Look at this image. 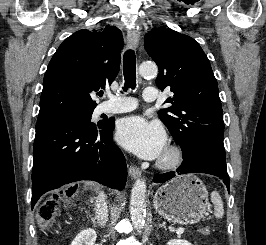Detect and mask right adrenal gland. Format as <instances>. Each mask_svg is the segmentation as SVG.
Instances as JSON below:
<instances>
[{
	"label": "right adrenal gland",
	"mask_w": 266,
	"mask_h": 245,
	"mask_svg": "<svg viewBox=\"0 0 266 245\" xmlns=\"http://www.w3.org/2000/svg\"><path fill=\"white\" fill-rule=\"evenodd\" d=\"M90 199H91V201H92V203H93V199H92V197H90ZM90 217H91V221H92V225H93V227H96V223H97V221H96L95 217H93V215H90Z\"/></svg>",
	"instance_id": "2a0ac1e0"
}]
</instances>
